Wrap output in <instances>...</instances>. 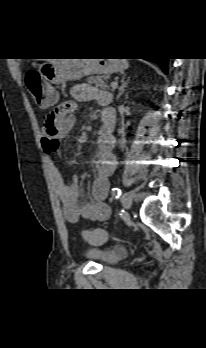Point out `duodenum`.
I'll use <instances>...</instances> for the list:
<instances>
[{"mask_svg":"<svg viewBox=\"0 0 206 348\" xmlns=\"http://www.w3.org/2000/svg\"><path fill=\"white\" fill-rule=\"evenodd\" d=\"M104 125L98 132V139L101 146L108 150L113 148L114 143V126L116 122V113L114 107H104L102 111Z\"/></svg>","mask_w":206,"mask_h":348,"instance_id":"obj_1","label":"duodenum"}]
</instances>
